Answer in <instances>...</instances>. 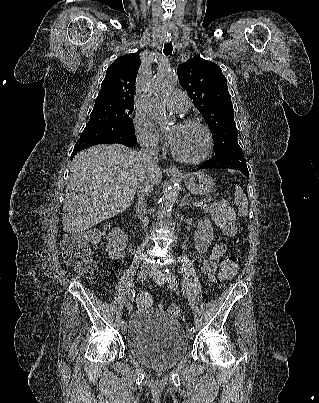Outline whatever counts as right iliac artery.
I'll use <instances>...</instances> for the list:
<instances>
[{"instance_id":"1","label":"right iliac artery","mask_w":319,"mask_h":403,"mask_svg":"<svg viewBox=\"0 0 319 403\" xmlns=\"http://www.w3.org/2000/svg\"><path fill=\"white\" fill-rule=\"evenodd\" d=\"M134 297H135V292H134V290H131V292L129 293V298L133 300ZM123 324H124V321L122 320L121 325H123Z\"/></svg>"}]
</instances>
